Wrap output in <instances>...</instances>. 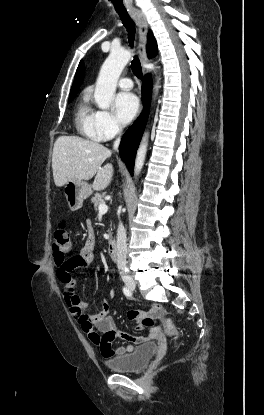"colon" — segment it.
Here are the masks:
<instances>
[{
	"label": "colon",
	"mask_w": 264,
	"mask_h": 415,
	"mask_svg": "<svg viewBox=\"0 0 264 415\" xmlns=\"http://www.w3.org/2000/svg\"><path fill=\"white\" fill-rule=\"evenodd\" d=\"M54 250H55V262L57 265H63L69 261V258L73 253V242L70 231L65 225H60L54 232ZM70 295H73V290H69ZM166 327L173 337H177L178 331L172 318H163ZM143 324L151 327L153 320L149 317H145L142 320Z\"/></svg>",
	"instance_id": "5ec220e1"
}]
</instances>
